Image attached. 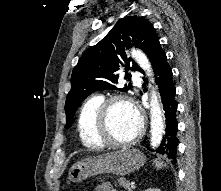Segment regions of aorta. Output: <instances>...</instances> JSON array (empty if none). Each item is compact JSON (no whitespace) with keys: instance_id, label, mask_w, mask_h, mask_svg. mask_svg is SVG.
<instances>
[{"instance_id":"1","label":"aorta","mask_w":221,"mask_h":191,"mask_svg":"<svg viewBox=\"0 0 221 191\" xmlns=\"http://www.w3.org/2000/svg\"><path fill=\"white\" fill-rule=\"evenodd\" d=\"M131 56L138 63V65L147 73L149 77H152L153 72L151 69L150 62L147 56L140 50L133 49L131 51ZM153 81V78H151ZM151 100H150V117H151V137L150 143L153 148H157L163 137L164 133V119L161 110V105L159 101V95L157 91L153 88L151 90Z\"/></svg>"}]
</instances>
